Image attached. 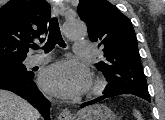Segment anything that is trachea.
<instances>
[{
    "label": "trachea",
    "instance_id": "3493384b",
    "mask_svg": "<svg viewBox=\"0 0 165 120\" xmlns=\"http://www.w3.org/2000/svg\"><path fill=\"white\" fill-rule=\"evenodd\" d=\"M58 44L60 47H66V44L62 38L58 19L56 17L52 18L49 23V36L46 44L43 46L44 52H50L55 45ZM33 49H38V45H33Z\"/></svg>",
    "mask_w": 165,
    "mask_h": 120
}]
</instances>
